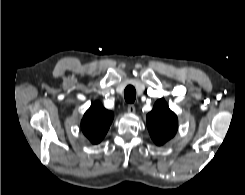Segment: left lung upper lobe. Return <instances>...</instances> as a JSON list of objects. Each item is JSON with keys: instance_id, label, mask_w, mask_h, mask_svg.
I'll return each mask as SVG.
<instances>
[{"instance_id": "obj_1", "label": "left lung upper lobe", "mask_w": 245, "mask_h": 195, "mask_svg": "<svg viewBox=\"0 0 245 195\" xmlns=\"http://www.w3.org/2000/svg\"><path fill=\"white\" fill-rule=\"evenodd\" d=\"M147 127L152 140L157 145H163L177 132L178 119L164 99H159L153 110L147 115Z\"/></svg>"}]
</instances>
